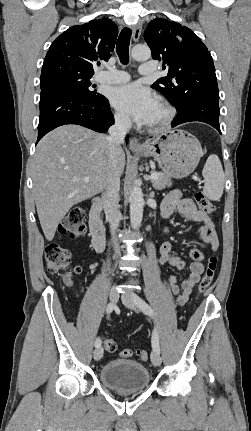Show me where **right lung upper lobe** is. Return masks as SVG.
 Masks as SVG:
<instances>
[{
	"label": "right lung upper lobe",
	"mask_w": 251,
	"mask_h": 431,
	"mask_svg": "<svg viewBox=\"0 0 251 431\" xmlns=\"http://www.w3.org/2000/svg\"><path fill=\"white\" fill-rule=\"evenodd\" d=\"M117 35V26L107 18L72 26L51 44L42 68L55 62H67L94 73L93 65L97 60L107 61L111 57Z\"/></svg>",
	"instance_id": "obj_1"
}]
</instances>
